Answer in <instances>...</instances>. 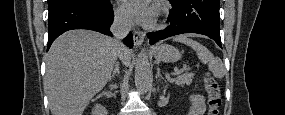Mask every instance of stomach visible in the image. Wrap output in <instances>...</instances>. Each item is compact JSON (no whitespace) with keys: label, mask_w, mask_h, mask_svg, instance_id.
Masks as SVG:
<instances>
[{"label":"stomach","mask_w":285,"mask_h":115,"mask_svg":"<svg viewBox=\"0 0 285 115\" xmlns=\"http://www.w3.org/2000/svg\"><path fill=\"white\" fill-rule=\"evenodd\" d=\"M153 54L157 60L167 63L176 62L182 56L178 49L168 44L158 46L153 50Z\"/></svg>","instance_id":"0dacf381"}]
</instances>
